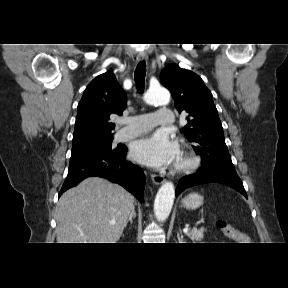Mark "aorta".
Wrapping results in <instances>:
<instances>
[{
	"instance_id": "obj_1",
	"label": "aorta",
	"mask_w": 288,
	"mask_h": 288,
	"mask_svg": "<svg viewBox=\"0 0 288 288\" xmlns=\"http://www.w3.org/2000/svg\"><path fill=\"white\" fill-rule=\"evenodd\" d=\"M146 103L150 105H166L170 101L169 92L162 88L149 89L144 97ZM175 198L174 185L165 182L158 190L154 201V213L158 221H165L172 209Z\"/></svg>"
}]
</instances>
